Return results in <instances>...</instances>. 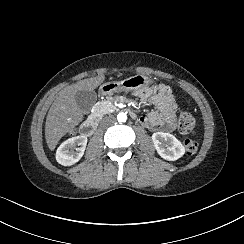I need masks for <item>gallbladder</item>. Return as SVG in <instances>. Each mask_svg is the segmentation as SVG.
I'll return each instance as SVG.
<instances>
[{
	"label": "gallbladder",
	"instance_id": "obj_1",
	"mask_svg": "<svg viewBox=\"0 0 244 244\" xmlns=\"http://www.w3.org/2000/svg\"><path fill=\"white\" fill-rule=\"evenodd\" d=\"M75 100L80 110L88 114L97 100V94L93 90L77 91Z\"/></svg>",
	"mask_w": 244,
	"mask_h": 244
}]
</instances>
